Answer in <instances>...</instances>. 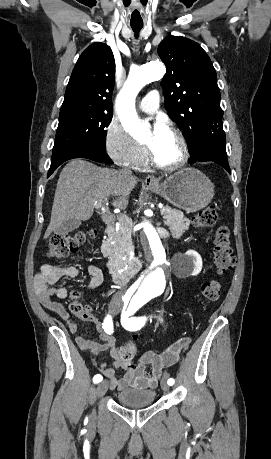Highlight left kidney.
<instances>
[{"mask_svg": "<svg viewBox=\"0 0 271 459\" xmlns=\"http://www.w3.org/2000/svg\"><path fill=\"white\" fill-rule=\"evenodd\" d=\"M186 257L189 265V271L190 275H197V273H200L202 269V257L198 251H194V249H189V251H186Z\"/></svg>", "mask_w": 271, "mask_h": 459, "instance_id": "left-kidney-1", "label": "left kidney"}]
</instances>
